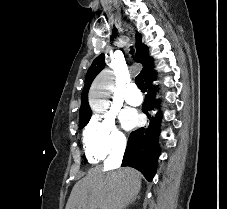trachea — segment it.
Listing matches in <instances>:
<instances>
[{"label":"trachea","instance_id":"1","mask_svg":"<svg viewBox=\"0 0 227 209\" xmlns=\"http://www.w3.org/2000/svg\"><path fill=\"white\" fill-rule=\"evenodd\" d=\"M130 53L133 54L134 53V50L133 48L131 47V50H130ZM135 83L137 85V87L141 90V91H146V85L144 83V80L142 78V76L139 74L137 75V77L135 78Z\"/></svg>","mask_w":227,"mask_h":209}]
</instances>
